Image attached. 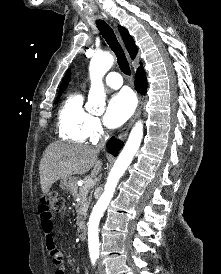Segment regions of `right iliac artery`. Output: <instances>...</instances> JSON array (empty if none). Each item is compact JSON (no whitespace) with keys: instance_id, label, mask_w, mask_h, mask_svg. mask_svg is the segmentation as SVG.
Segmentation results:
<instances>
[{"instance_id":"1","label":"right iliac artery","mask_w":221,"mask_h":274,"mask_svg":"<svg viewBox=\"0 0 221 274\" xmlns=\"http://www.w3.org/2000/svg\"><path fill=\"white\" fill-rule=\"evenodd\" d=\"M96 260H97V257H96V256H91V262H92V265H93V266H95Z\"/></svg>"}]
</instances>
